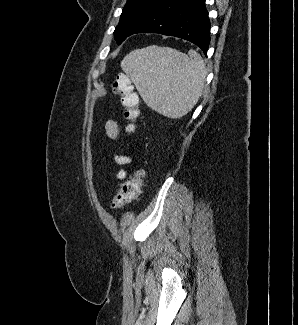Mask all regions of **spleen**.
I'll return each mask as SVG.
<instances>
[{
	"label": "spleen",
	"mask_w": 298,
	"mask_h": 325,
	"mask_svg": "<svg viewBox=\"0 0 298 325\" xmlns=\"http://www.w3.org/2000/svg\"><path fill=\"white\" fill-rule=\"evenodd\" d=\"M121 68L144 102L168 118L190 112L204 88L205 62L192 48L188 54L157 44L135 48L121 60Z\"/></svg>",
	"instance_id": "1"
}]
</instances>
